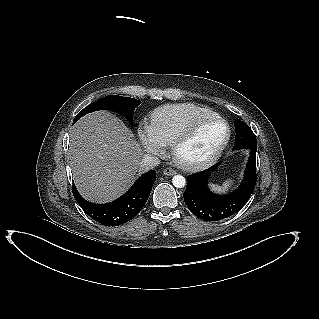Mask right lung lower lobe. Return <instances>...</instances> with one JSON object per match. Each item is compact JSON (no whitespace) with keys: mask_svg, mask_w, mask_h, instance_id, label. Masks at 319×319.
<instances>
[{"mask_svg":"<svg viewBox=\"0 0 319 319\" xmlns=\"http://www.w3.org/2000/svg\"><path fill=\"white\" fill-rule=\"evenodd\" d=\"M156 172L142 175L120 198L107 204H94L86 201L73 186V194L80 207L95 221L106 226H118L132 220L148 200Z\"/></svg>","mask_w":319,"mask_h":319,"instance_id":"1","label":"right lung lower lobe"}]
</instances>
